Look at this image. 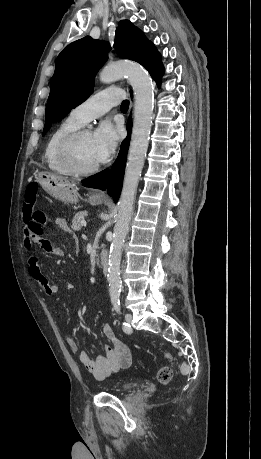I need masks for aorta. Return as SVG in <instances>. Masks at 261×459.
Segmentation results:
<instances>
[{
  "label": "aorta",
  "instance_id": "obj_1",
  "mask_svg": "<svg viewBox=\"0 0 261 459\" xmlns=\"http://www.w3.org/2000/svg\"><path fill=\"white\" fill-rule=\"evenodd\" d=\"M127 77L135 96L134 122L128 152L123 188L118 202V214L108 259L109 293L113 301L120 296V263L122 248L128 232L135 194L145 162L151 131L154 87L149 74L137 63L118 62L100 72V81L112 83Z\"/></svg>",
  "mask_w": 261,
  "mask_h": 459
}]
</instances>
